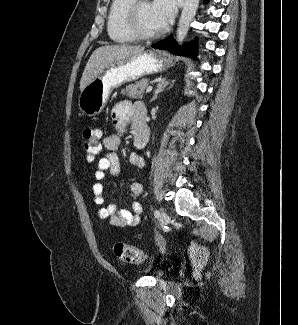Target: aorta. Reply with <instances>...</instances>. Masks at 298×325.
Listing matches in <instances>:
<instances>
[{
    "mask_svg": "<svg viewBox=\"0 0 298 325\" xmlns=\"http://www.w3.org/2000/svg\"><path fill=\"white\" fill-rule=\"evenodd\" d=\"M199 0H185L181 10L176 30V44H183L189 30L190 22L193 20L198 8Z\"/></svg>",
    "mask_w": 298,
    "mask_h": 325,
    "instance_id": "762f6f07",
    "label": "aorta"
}]
</instances>
